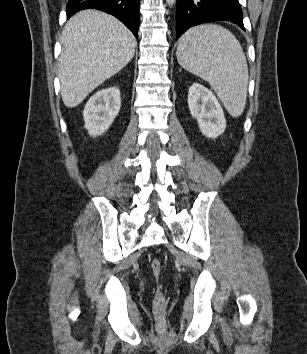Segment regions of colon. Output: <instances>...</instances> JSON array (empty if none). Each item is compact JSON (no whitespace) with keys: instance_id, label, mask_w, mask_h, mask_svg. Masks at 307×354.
<instances>
[{"instance_id":"colon-1","label":"colon","mask_w":307,"mask_h":354,"mask_svg":"<svg viewBox=\"0 0 307 354\" xmlns=\"http://www.w3.org/2000/svg\"><path fill=\"white\" fill-rule=\"evenodd\" d=\"M162 268H163V266H162V263L160 260H158V259L152 260L151 269H152L153 275L155 276L156 279H158L160 277L161 272H162ZM154 304H155V309L158 314V317L160 319H162L164 316V311H165V298L159 289H157L155 292Z\"/></svg>"}]
</instances>
